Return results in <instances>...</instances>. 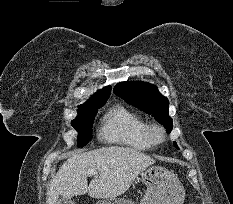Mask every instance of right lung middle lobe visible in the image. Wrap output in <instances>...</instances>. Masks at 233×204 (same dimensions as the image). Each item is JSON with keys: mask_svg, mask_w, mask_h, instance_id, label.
Segmentation results:
<instances>
[{"mask_svg": "<svg viewBox=\"0 0 233 204\" xmlns=\"http://www.w3.org/2000/svg\"><path fill=\"white\" fill-rule=\"evenodd\" d=\"M105 102L97 103L86 109L78 110V116L71 123L79 134L77 138L78 147L85 146L91 140L93 118L97 113V109L102 107Z\"/></svg>", "mask_w": 233, "mask_h": 204, "instance_id": "dd1d6c3e", "label": "right lung middle lobe"}]
</instances>
